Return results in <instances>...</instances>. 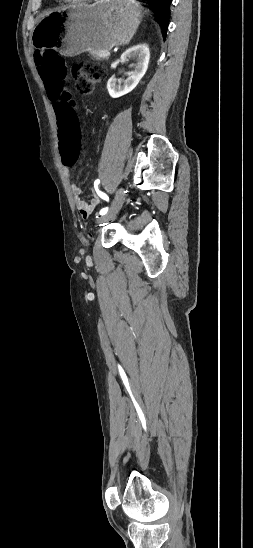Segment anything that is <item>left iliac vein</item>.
<instances>
[{"label": "left iliac vein", "instance_id": "left-iliac-vein-1", "mask_svg": "<svg viewBox=\"0 0 253 548\" xmlns=\"http://www.w3.org/2000/svg\"><path fill=\"white\" fill-rule=\"evenodd\" d=\"M124 195H125L124 188H122V187L119 188L117 190L116 194H115V198H114V201L111 205L110 210L97 220V224L101 225V224L109 221L110 219H112L117 214V212L119 211V209L122 205Z\"/></svg>", "mask_w": 253, "mask_h": 548}]
</instances>
